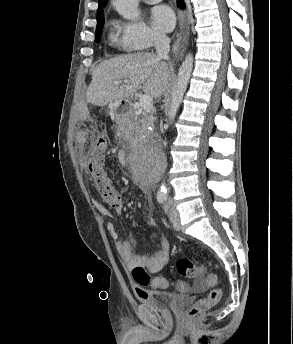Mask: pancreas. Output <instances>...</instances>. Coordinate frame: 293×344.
<instances>
[{"instance_id": "obj_1", "label": "pancreas", "mask_w": 293, "mask_h": 344, "mask_svg": "<svg viewBox=\"0 0 293 344\" xmlns=\"http://www.w3.org/2000/svg\"><path fill=\"white\" fill-rule=\"evenodd\" d=\"M153 123L154 116L152 114L134 112L127 130L136 135H141L143 132L149 133V127H153Z\"/></svg>"}]
</instances>
